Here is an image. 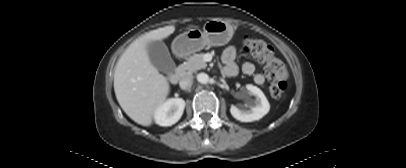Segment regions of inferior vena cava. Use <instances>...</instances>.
<instances>
[{
  "instance_id": "inferior-vena-cava-1",
  "label": "inferior vena cava",
  "mask_w": 406,
  "mask_h": 168,
  "mask_svg": "<svg viewBox=\"0 0 406 168\" xmlns=\"http://www.w3.org/2000/svg\"><path fill=\"white\" fill-rule=\"evenodd\" d=\"M192 80H193V75L186 74L180 79L179 85L182 89H187L191 85Z\"/></svg>"
}]
</instances>
